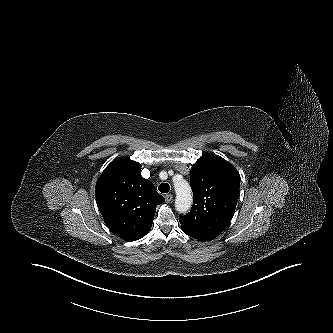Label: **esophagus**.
Instances as JSON below:
<instances>
[{
  "mask_svg": "<svg viewBox=\"0 0 333 333\" xmlns=\"http://www.w3.org/2000/svg\"><path fill=\"white\" fill-rule=\"evenodd\" d=\"M172 199H173V195L172 194H167L165 196V200H166L167 203H170L172 201Z\"/></svg>",
  "mask_w": 333,
  "mask_h": 333,
  "instance_id": "esophagus-1",
  "label": "esophagus"
}]
</instances>
